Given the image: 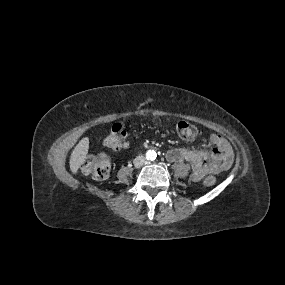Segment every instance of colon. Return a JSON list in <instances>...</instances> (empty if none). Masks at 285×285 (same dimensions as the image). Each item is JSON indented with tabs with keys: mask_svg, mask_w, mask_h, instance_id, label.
Returning <instances> with one entry per match:
<instances>
[{
	"mask_svg": "<svg viewBox=\"0 0 285 285\" xmlns=\"http://www.w3.org/2000/svg\"><path fill=\"white\" fill-rule=\"evenodd\" d=\"M177 133L184 140H192L197 136L198 130L195 125L181 121L177 124ZM104 144L112 149L126 148L128 146V136L124 127L121 124H114L105 138ZM81 169L85 175H90L96 180H105L110 174L111 162L104 153L91 154L83 161ZM215 181L214 176H207L204 179V184L212 186Z\"/></svg>",
	"mask_w": 285,
	"mask_h": 285,
	"instance_id": "obj_1",
	"label": "colon"
}]
</instances>
